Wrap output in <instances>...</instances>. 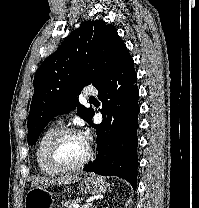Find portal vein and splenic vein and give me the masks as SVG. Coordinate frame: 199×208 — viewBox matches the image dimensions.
<instances>
[{
	"label": "portal vein and splenic vein",
	"instance_id": "18ae733b",
	"mask_svg": "<svg viewBox=\"0 0 199 208\" xmlns=\"http://www.w3.org/2000/svg\"><path fill=\"white\" fill-rule=\"evenodd\" d=\"M92 206V204H84V205H78L77 207H81V208H89V207H91Z\"/></svg>",
	"mask_w": 199,
	"mask_h": 208
}]
</instances>
